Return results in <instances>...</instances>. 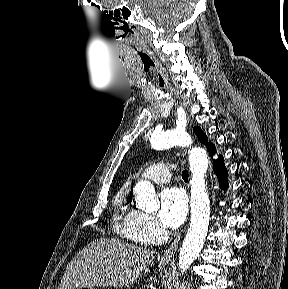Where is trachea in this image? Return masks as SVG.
I'll list each match as a JSON object with an SVG mask.
<instances>
[{"instance_id":"1","label":"trachea","mask_w":288,"mask_h":289,"mask_svg":"<svg viewBox=\"0 0 288 289\" xmlns=\"http://www.w3.org/2000/svg\"><path fill=\"white\" fill-rule=\"evenodd\" d=\"M139 56L141 58V61L143 63L145 71H149V72L155 73L156 75L160 76V73L157 71L155 60L153 59V57L150 54L145 53V52H141V53H139ZM188 177H189L188 171L184 170L182 172V178L184 180H188Z\"/></svg>"}]
</instances>
